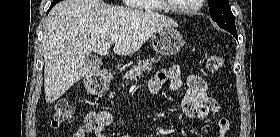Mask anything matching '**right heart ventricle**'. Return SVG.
<instances>
[{"mask_svg":"<svg viewBox=\"0 0 280 137\" xmlns=\"http://www.w3.org/2000/svg\"><path fill=\"white\" fill-rule=\"evenodd\" d=\"M145 1L156 2V0H145ZM146 10H148V11H163V8L161 6H156V7L147 8Z\"/></svg>","mask_w":280,"mask_h":137,"instance_id":"e07e8e85","label":"right heart ventricle"}]
</instances>
